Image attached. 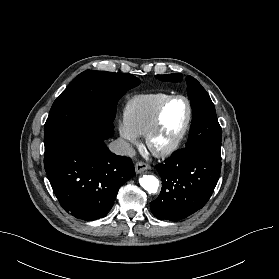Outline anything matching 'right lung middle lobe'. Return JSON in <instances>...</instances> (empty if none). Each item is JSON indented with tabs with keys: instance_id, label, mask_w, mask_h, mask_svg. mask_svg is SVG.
Wrapping results in <instances>:
<instances>
[{
	"instance_id": "right-lung-middle-lobe-1",
	"label": "right lung middle lobe",
	"mask_w": 279,
	"mask_h": 279,
	"mask_svg": "<svg viewBox=\"0 0 279 279\" xmlns=\"http://www.w3.org/2000/svg\"><path fill=\"white\" fill-rule=\"evenodd\" d=\"M140 84L131 74L86 70L53 103L44 126V166L48 171L57 157L75 143L89 123L113 128L118 100Z\"/></svg>"
}]
</instances>
